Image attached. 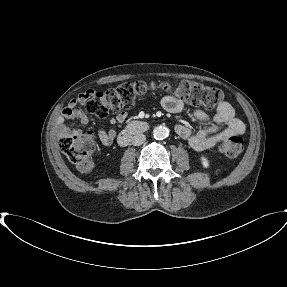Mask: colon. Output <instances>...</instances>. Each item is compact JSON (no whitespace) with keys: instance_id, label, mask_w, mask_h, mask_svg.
I'll return each mask as SVG.
<instances>
[{"instance_id":"5ec220e1","label":"colon","mask_w":287,"mask_h":287,"mask_svg":"<svg viewBox=\"0 0 287 287\" xmlns=\"http://www.w3.org/2000/svg\"><path fill=\"white\" fill-rule=\"evenodd\" d=\"M154 92L172 94L190 105L206 108L217 107L224 100V94L220 89L190 81L177 84L167 81H136L91 94L86 108L91 114L103 117L113 110L130 109L137 100L144 99ZM59 146L78 170L87 172L92 168L96 153L94 132L74 130L61 137ZM243 149V139L237 135L224 139L220 145V151L229 158H237Z\"/></svg>"}]
</instances>
